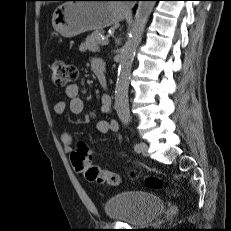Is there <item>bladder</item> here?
I'll use <instances>...</instances> for the list:
<instances>
[{
    "label": "bladder",
    "instance_id": "1",
    "mask_svg": "<svg viewBox=\"0 0 231 231\" xmlns=\"http://www.w3.org/2000/svg\"><path fill=\"white\" fill-rule=\"evenodd\" d=\"M165 202L149 192H123L109 198L103 205L105 215L129 225H147L164 211Z\"/></svg>",
    "mask_w": 231,
    "mask_h": 231
}]
</instances>
